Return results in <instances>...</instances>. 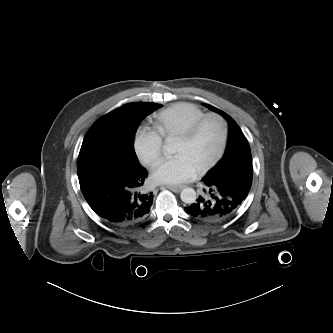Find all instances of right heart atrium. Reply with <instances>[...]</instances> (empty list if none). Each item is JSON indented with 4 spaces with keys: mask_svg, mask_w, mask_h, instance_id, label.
<instances>
[{
    "mask_svg": "<svg viewBox=\"0 0 333 333\" xmlns=\"http://www.w3.org/2000/svg\"><path fill=\"white\" fill-rule=\"evenodd\" d=\"M163 140L153 129L140 128L134 140L135 152L139 160L147 167L155 165L162 156Z\"/></svg>",
    "mask_w": 333,
    "mask_h": 333,
    "instance_id": "1",
    "label": "right heart atrium"
}]
</instances>
